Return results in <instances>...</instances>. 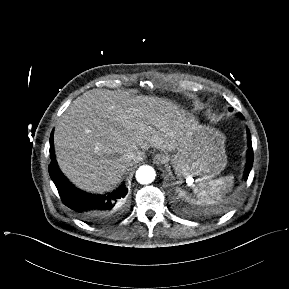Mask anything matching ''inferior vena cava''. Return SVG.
Segmentation results:
<instances>
[{
  "label": "inferior vena cava",
  "mask_w": 289,
  "mask_h": 289,
  "mask_svg": "<svg viewBox=\"0 0 289 289\" xmlns=\"http://www.w3.org/2000/svg\"><path fill=\"white\" fill-rule=\"evenodd\" d=\"M143 159L141 152H130L125 155V161L130 165L137 163Z\"/></svg>",
  "instance_id": "1"
}]
</instances>
